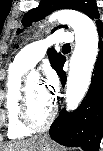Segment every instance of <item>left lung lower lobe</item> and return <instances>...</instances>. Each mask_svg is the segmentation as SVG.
Returning a JSON list of instances; mask_svg holds the SVG:
<instances>
[{
  "mask_svg": "<svg viewBox=\"0 0 103 151\" xmlns=\"http://www.w3.org/2000/svg\"><path fill=\"white\" fill-rule=\"evenodd\" d=\"M98 34L99 53L85 98L76 112L63 109L50 127V136L55 141L85 151H98L103 135V28L98 27ZM63 64L57 73L64 86Z\"/></svg>",
  "mask_w": 103,
  "mask_h": 151,
  "instance_id": "obj_1",
  "label": "left lung lower lobe"
}]
</instances>
